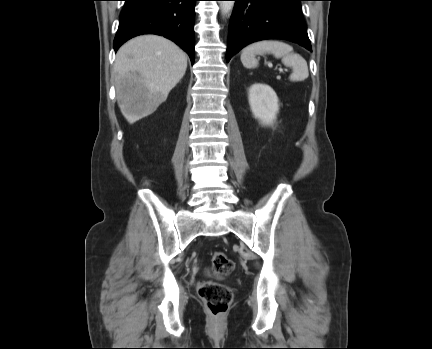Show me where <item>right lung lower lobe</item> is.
I'll return each mask as SVG.
<instances>
[{
  "label": "right lung lower lobe",
  "mask_w": 432,
  "mask_h": 349,
  "mask_svg": "<svg viewBox=\"0 0 432 349\" xmlns=\"http://www.w3.org/2000/svg\"><path fill=\"white\" fill-rule=\"evenodd\" d=\"M114 50L132 37L157 34L177 43L194 62V18L197 0H124Z\"/></svg>",
  "instance_id": "obj_1"
}]
</instances>
